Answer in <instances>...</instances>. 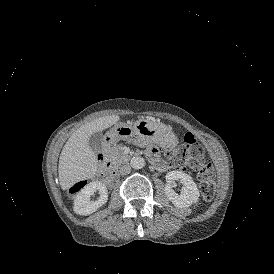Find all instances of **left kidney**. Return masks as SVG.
Returning a JSON list of instances; mask_svg holds the SVG:
<instances>
[{"label": "left kidney", "mask_w": 274, "mask_h": 274, "mask_svg": "<svg viewBox=\"0 0 274 274\" xmlns=\"http://www.w3.org/2000/svg\"><path fill=\"white\" fill-rule=\"evenodd\" d=\"M165 178L164 192L174 206L178 208L189 207L198 201L200 193L191 176L182 171H171L166 174ZM175 181H180L183 184L181 194H177L173 190Z\"/></svg>", "instance_id": "left-kidney-1"}]
</instances>
